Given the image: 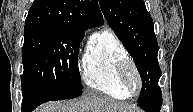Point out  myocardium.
<instances>
[{
	"label": "myocardium",
	"mask_w": 193,
	"mask_h": 112,
	"mask_svg": "<svg viewBox=\"0 0 193 112\" xmlns=\"http://www.w3.org/2000/svg\"><path fill=\"white\" fill-rule=\"evenodd\" d=\"M119 79L131 95L141 91L142 78L135 61L129 56L123 57L117 66Z\"/></svg>",
	"instance_id": "obj_1"
}]
</instances>
